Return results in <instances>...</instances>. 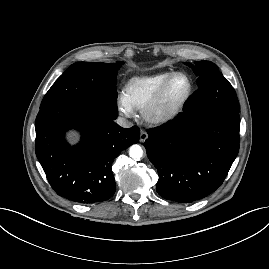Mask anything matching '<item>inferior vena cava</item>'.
Masks as SVG:
<instances>
[{"mask_svg":"<svg viewBox=\"0 0 269 269\" xmlns=\"http://www.w3.org/2000/svg\"><path fill=\"white\" fill-rule=\"evenodd\" d=\"M117 124L123 128H129L132 126V123L127 120L126 118L123 117H118L117 118Z\"/></svg>","mask_w":269,"mask_h":269,"instance_id":"inferior-vena-cava-1","label":"inferior vena cava"}]
</instances>
